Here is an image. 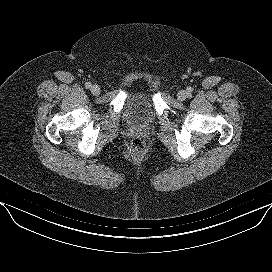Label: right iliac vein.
I'll return each mask as SVG.
<instances>
[{
    "mask_svg": "<svg viewBox=\"0 0 272 272\" xmlns=\"http://www.w3.org/2000/svg\"><path fill=\"white\" fill-rule=\"evenodd\" d=\"M90 91L93 95H99L101 92V89L98 85H93V86H91Z\"/></svg>",
    "mask_w": 272,
    "mask_h": 272,
    "instance_id": "right-iliac-vein-1",
    "label": "right iliac vein"
}]
</instances>
